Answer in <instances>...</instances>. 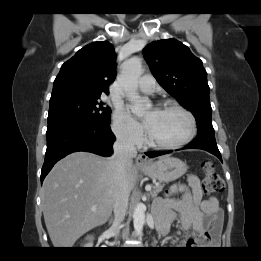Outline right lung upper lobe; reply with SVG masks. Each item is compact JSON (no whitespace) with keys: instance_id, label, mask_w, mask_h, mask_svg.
I'll return each mask as SVG.
<instances>
[{"instance_id":"obj_1","label":"right lung upper lobe","mask_w":261,"mask_h":261,"mask_svg":"<svg viewBox=\"0 0 261 261\" xmlns=\"http://www.w3.org/2000/svg\"><path fill=\"white\" fill-rule=\"evenodd\" d=\"M115 58L114 47L108 41L86 45L62 65L54 81L52 94H108V87L116 76Z\"/></svg>"}]
</instances>
